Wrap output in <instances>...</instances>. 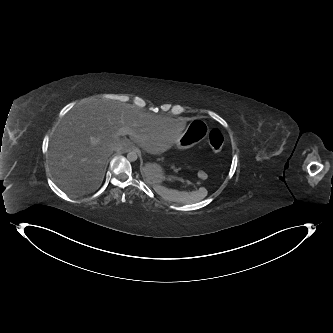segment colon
<instances>
[{"label":"colon","instance_id":"colon-1","mask_svg":"<svg viewBox=\"0 0 333 333\" xmlns=\"http://www.w3.org/2000/svg\"><path fill=\"white\" fill-rule=\"evenodd\" d=\"M208 143L210 149L214 153H219L222 150L224 138L219 129H212L208 136ZM199 178L204 179L206 177V173L204 171H199L198 173Z\"/></svg>","mask_w":333,"mask_h":333}]
</instances>
